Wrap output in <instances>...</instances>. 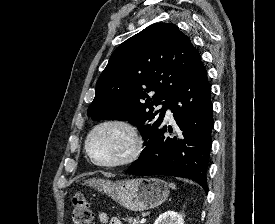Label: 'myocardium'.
Returning <instances> with one entry per match:
<instances>
[{"label": "myocardium", "mask_w": 275, "mask_h": 224, "mask_svg": "<svg viewBox=\"0 0 275 224\" xmlns=\"http://www.w3.org/2000/svg\"><path fill=\"white\" fill-rule=\"evenodd\" d=\"M111 125L120 126L128 132L131 138L132 148L129 154L121 160H118L115 162H101L98 159H96V157L91 152L90 140L92 136L99 129L105 126H111ZM141 149H142V141L136 127L133 124H131L129 121L121 118H108L100 121L90 129L85 139V151L88 157L96 166L103 167V168H116V167H123V166L129 165L138 158V156L140 155Z\"/></svg>", "instance_id": "obj_1"}]
</instances>
